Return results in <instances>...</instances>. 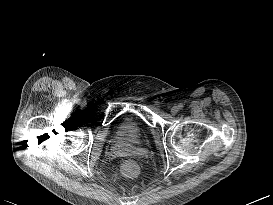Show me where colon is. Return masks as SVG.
I'll list each match as a JSON object with an SVG mask.
<instances>
[{
	"label": "colon",
	"mask_w": 273,
	"mask_h": 205,
	"mask_svg": "<svg viewBox=\"0 0 273 205\" xmlns=\"http://www.w3.org/2000/svg\"><path fill=\"white\" fill-rule=\"evenodd\" d=\"M122 176L132 178L138 173V166L133 161H126L120 167Z\"/></svg>",
	"instance_id": "5ec220e1"
}]
</instances>
